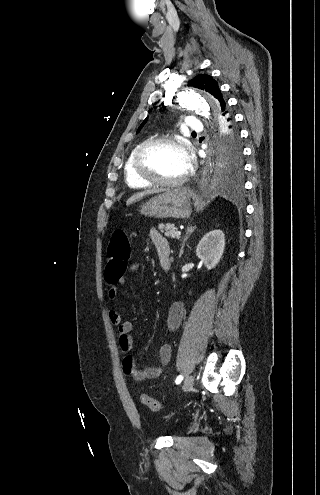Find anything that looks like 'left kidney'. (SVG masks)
<instances>
[{
  "label": "left kidney",
  "instance_id": "5707ae66",
  "mask_svg": "<svg viewBox=\"0 0 320 495\" xmlns=\"http://www.w3.org/2000/svg\"><path fill=\"white\" fill-rule=\"evenodd\" d=\"M225 248V235L221 230L210 231L200 240L196 253L207 269L214 268L220 261Z\"/></svg>",
  "mask_w": 320,
  "mask_h": 495
}]
</instances>
